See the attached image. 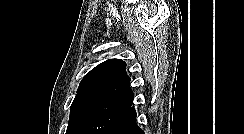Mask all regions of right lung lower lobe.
<instances>
[{
    "label": "right lung lower lobe",
    "mask_w": 244,
    "mask_h": 134,
    "mask_svg": "<svg viewBox=\"0 0 244 134\" xmlns=\"http://www.w3.org/2000/svg\"><path fill=\"white\" fill-rule=\"evenodd\" d=\"M136 117L135 108L130 106L106 134H144V131L136 123Z\"/></svg>",
    "instance_id": "obj_1"
}]
</instances>
